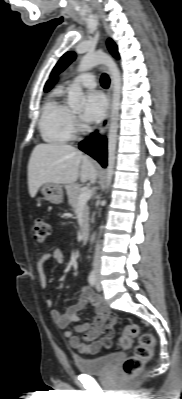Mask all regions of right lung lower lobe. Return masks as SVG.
<instances>
[{
    "label": "right lung lower lobe",
    "mask_w": 182,
    "mask_h": 399,
    "mask_svg": "<svg viewBox=\"0 0 182 399\" xmlns=\"http://www.w3.org/2000/svg\"><path fill=\"white\" fill-rule=\"evenodd\" d=\"M79 148L96 159L103 167L107 165L106 139L97 133L79 144Z\"/></svg>",
    "instance_id": "obj_1"
}]
</instances>
